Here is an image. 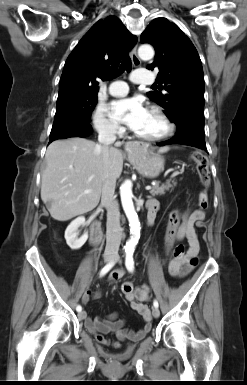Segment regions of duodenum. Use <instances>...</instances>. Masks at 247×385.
I'll use <instances>...</instances> for the list:
<instances>
[{"label": "duodenum", "mask_w": 247, "mask_h": 385, "mask_svg": "<svg viewBox=\"0 0 247 385\" xmlns=\"http://www.w3.org/2000/svg\"><path fill=\"white\" fill-rule=\"evenodd\" d=\"M155 214L156 212L154 210H151L148 212L147 216V225L152 226L155 221ZM102 239V229H101V224L93 220L91 223V228H90V240L93 245H98Z\"/></svg>", "instance_id": "obj_1"}]
</instances>
